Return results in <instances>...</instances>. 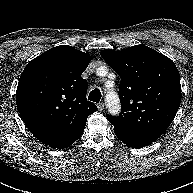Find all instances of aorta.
Wrapping results in <instances>:
<instances>
[{"instance_id": "762f6f07", "label": "aorta", "mask_w": 193, "mask_h": 193, "mask_svg": "<svg viewBox=\"0 0 193 193\" xmlns=\"http://www.w3.org/2000/svg\"><path fill=\"white\" fill-rule=\"evenodd\" d=\"M107 103H108L109 108L112 111L115 112V111L119 110V99H118V96L115 93H110L107 96Z\"/></svg>"}]
</instances>
